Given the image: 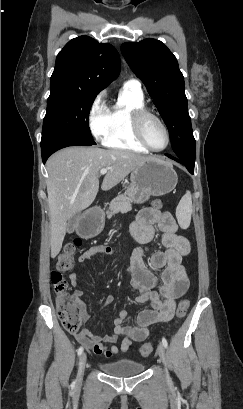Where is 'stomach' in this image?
<instances>
[{
	"label": "stomach",
	"mask_w": 243,
	"mask_h": 409,
	"mask_svg": "<svg viewBox=\"0 0 243 409\" xmlns=\"http://www.w3.org/2000/svg\"><path fill=\"white\" fill-rule=\"evenodd\" d=\"M178 176L173 166L160 159H152L135 168L130 175V185L126 190L131 202L142 204L151 196H162L177 185ZM104 227L101 219L90 232H82L85 237L99 234Z\"/></svg>",
	"instance_id": "stomach-1"
}]
</instances>
